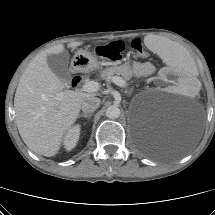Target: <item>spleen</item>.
Instances as JSON below:
<instances>
[{
  "instance_id": "1",
  "label": "spleen",
  "mask_w": 215,
  "mask_h": 215,
  "mask_svg": "<svg viewBox=\"0 0 215 215\" xmlns=\"http://www.w3.org/2000/svg\"><path fill=\"white\" fill-rule=\"evenodd\" d=\"M147 47L152 49L155 54L163 58L169 65L178 68L179 71L187 74H192L196 70L194 62L190 61L184 49L180 48L178 44L166 42L160 38L149 35L145 39Z\"/></svg>"
}]
</instances>
